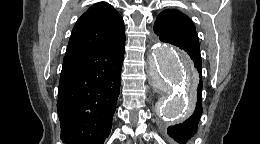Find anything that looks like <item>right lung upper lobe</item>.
Instances as JSON below:
<instances>
[{
    "label": "right lung upper lobe",
    "instance_id": "cb5924a9",
    "mask_svg": "<svg viewBox=\"0 0 260 144\" xmlns=\"http://www.w3.org/2000/svg\"><path fill=\"white\" fill-rule=\"evenodd\" d=\"M125 39L123 18L108 3L91 6L76 22L65 55Z\"/></svg>",
    "mask_w": 260,
    "mask_h": 144
}]
</instances>
